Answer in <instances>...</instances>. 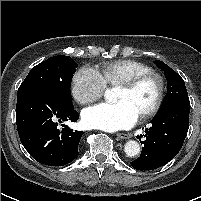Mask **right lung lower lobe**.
<instances>
[{
    "label": "right lung lower lobe",
    "mask_w": 201,
    "mask_h": 201,
    "mask_svg": "<svg viewBox=\"0 0 201 201\" xmlns=\"http://www.w3.org/2000/svg\"><path fill=\"white\" fill-rule=\"evenodd\" d=\"M78 118L72 105L43 91L17 98L16 124L20 140L41 164L63 166L78 156L83 132H74L64 124L61 129L58 125L65 121L76 122Z\"/></svg>",
    "instance_id": "1"
}]
</instances>
